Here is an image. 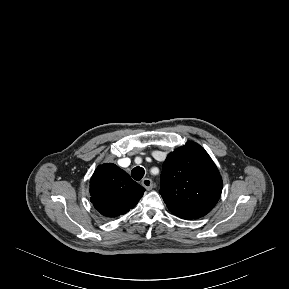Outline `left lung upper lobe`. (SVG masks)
<instances>
[{"mask_svg": "<svg viewBox=\"0 0 289 289\" xmlns=\"http://www.w3.org/2000/svg\"><path fill=\"white\" fill-rule=\"evenodd\" d=\"M160 179V194L167 207L182 219L205 216L216 205L222 192V178L216 165L193 141L167 156Z\"/></svg>", "mask_w": 289, "mask_h": 289, "instance_id": "left-lung-upper-lobe-1", "label": "left lung upper lobe"}]
</instances>
